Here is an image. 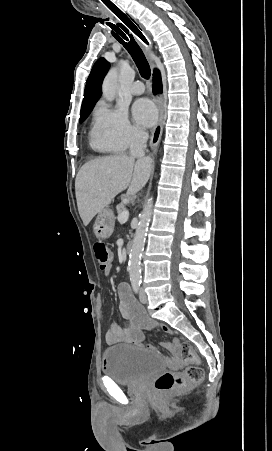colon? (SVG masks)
Wrapping results in <instances>:
<instances>
[{
  "label": "colon",
  "instance_id": "colon-1",
  "mask_svg": "<svg viewBox=\"0 0 272 451\" xmlns=\"http://www.w3.org/2000/svg\"><path fill=\"white\" fill-rule=\"evenodd\" d=\"M94 253L101 269H105L110 262L111 254L107 245L96 242ZM173 356L177 365H185L182 372L164 371L155 380L154 387L161 393L169 392L177 387H188L198 383L203 377L202 365H195L196 358L191 344L184 342L176 345Z\"/></svg>",
  "mask_w": 272,
  "mask_h": 451
}]
</instances>
